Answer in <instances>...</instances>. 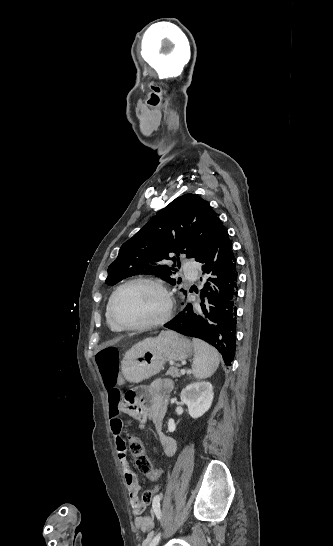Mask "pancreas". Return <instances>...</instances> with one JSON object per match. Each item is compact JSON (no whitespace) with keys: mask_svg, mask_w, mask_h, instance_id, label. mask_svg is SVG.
I'll list each match as a JSON object with an SVG mask.
<instances>
[{"mask_svg":"<svg viewBox=\"0 0 333 546\" xmlns=\"http://www.w3.org/2000/svg\"><path fill=\"white\" fill-rule=\"evenodd\" d=\"M166 375H169L173 378H178L181 376V374L179 373V369H178V366H171L168 371L166 372Z\"/></svg>","mask_w":333,"mask_h":546,"instance_id":"obj_1","label":"pancreas"}]
</instances>
